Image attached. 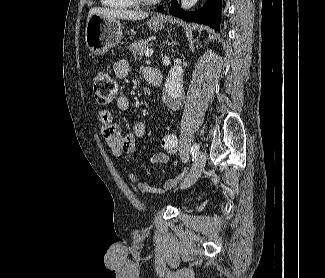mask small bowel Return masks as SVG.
Listing matches in <instances>:
<instances>
[{
    "mask_svg": "<svg viewBox=\"0 0 325 278\" xmlns=\"http://www.w3.org/2000/svg\"><path fill=\"white\" fill-rule=\"evenodd\" d=\"M114 72L119 78H126L130 73V66L126 60H118L114 64ZM117 108L120 111L126 112L130 108L129 100L126 96H119L116 100ZM99 120L101 123V132L105 141L115 156H120L123 153H132L138 141L143 138L146 132V125L143 121H138L133 129L123 135L120 127L113 122L112 114L109 111H101L99 113ZM168 135V134H167ZM170 159L166 153H158L152 156L149 160L150 165L166 163ZM187 173L186 170L178 174L174 179L168 180L164 184V188L172 187L178 183ZM126 178L129 182L135 183L137 181L136 175L133 172H128ZM139 190L143 192L159 193L161 189L152 188L146 182L141 181L137 183Z\"/></svg>",
    "mask_w": 325,
    "mask_h": 278,
    "instance_id": "small-bowel-1",
    "label": "small bowel"
}]
</instances>
